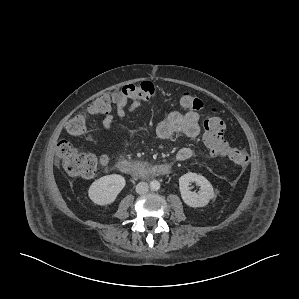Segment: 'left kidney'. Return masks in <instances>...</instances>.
I'll return each mask as SVG.
<instances>
[{
  "mask_svg": "<svg viewBox=\"0 0 299 299\" xmlns=\"http://www.w3.org/2000/svg\"><path fill=\"white\" fill-rule=\"evenodd\" d=\"M200 186L198 193L190 190V183ZM179 189L184 203L190 207H204L215 197L213 186L202 175L188 172L179 178Z\"/></svg>",
  "mask_w": 299,
  "mask_h": 299,
  "instance_id": "1",
  "label": "left kidney"
}]
</instances>
